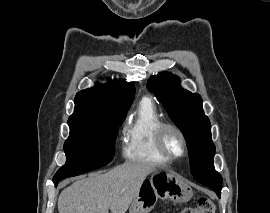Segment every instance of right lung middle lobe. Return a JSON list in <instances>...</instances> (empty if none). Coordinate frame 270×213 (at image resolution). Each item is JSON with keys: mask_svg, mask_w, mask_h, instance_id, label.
<instances>
[{"mask_svg": "<svg viewBox=\"0 0 270 213\" xmlns=\"http://www.w3.org/2000/svg\"><path fill=\"white\" fill-rule=\"evenodd\" d=\"M126 113L104 119L68 120L70 135L64 144L66 163L53 181L77 176L113 160L118 127Z\"/></svg>", "mask_w": 270, "mask_h": 213, "instance_id": "1", "label": "right lung middle lobe"}]
</instances>
